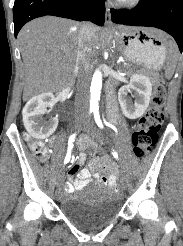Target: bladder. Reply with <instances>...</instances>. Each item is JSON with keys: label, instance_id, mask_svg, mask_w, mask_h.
<instances>
[{"label": "bladder", "instance_id": "1", "mask_svg": "<svg viewBox=\"0 0 183 246\" xmlns=\"http://www.w3.org/2000/svg\"><path fill=\"white\" fill-rule=\"evenodd\" d=\"M120 211L119 200L101 184H91L81 196L64 201L61 212L81 228H94L113 221Z\"/></svg>", "mask_w": 183, "mask_h": 246}]
</instances>
